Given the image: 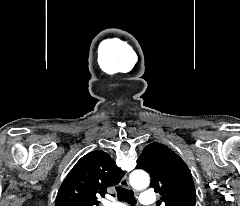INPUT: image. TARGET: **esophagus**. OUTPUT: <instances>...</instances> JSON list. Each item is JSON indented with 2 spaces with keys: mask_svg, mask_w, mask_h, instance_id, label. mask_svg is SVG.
<instances>
[{
  "mask_svg": "<svg viewBox=\"0 0 240 206\" xmlns=\"http://www.w3.org/2000/svg\"><path fill=\"white\" fill-rule=\"evenodd\" d=\"M120 185H121L123 188H126V189H129V188H130V185H129L127 176H124V177L122 178V180L120 181Z\"/></svg>",
  "mask_w": 240,
  "mask_h": 206,
  "instance_id": "esophagus-1",
  "label": "esophagus"
}]
</instances>
